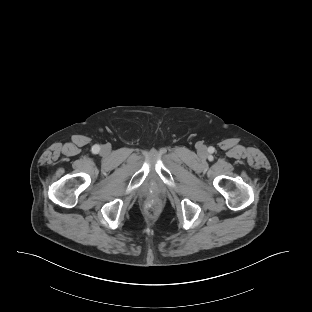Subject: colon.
<instances>
[{
	"label": "colon",
	"mask_w": 312,
	"mask_h": 312,
	"mask_svg": "<svg viewBox=\"0 0 312 312\" xmlns=\"http://www.w3.org/2000/svg\"><path fill=\"white\" fill-rule=\"evenodd\" d=\"M157 209H158V204L154 203V202H151V203L147 204V206H146V212L149 215H154L156 213Z\"/></svg>",
	"instance_id": "obj_1"
}]
</instances>
